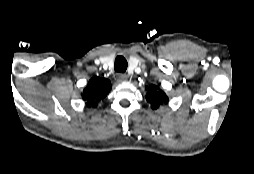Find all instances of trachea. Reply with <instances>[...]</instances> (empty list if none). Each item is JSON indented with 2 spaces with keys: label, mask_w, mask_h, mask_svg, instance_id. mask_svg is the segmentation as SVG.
<instances>
[{
  "label": "trachea",
  "mask_w": 254,
  "mask_h": 174,
  "mask_svg": "<svg viewBox=\"0 0 254 174\" xmlns=\"http://www.w3.org/2000/svg\"><path fill=\"white\" fill-rule=\"evenodd\" d=\"M128 63L125 57L117 56L115 59V71L124 73L127 69Z\"/></svg>",
  "instance_id": "trachea-1"
}]
</instances>
